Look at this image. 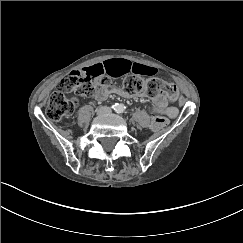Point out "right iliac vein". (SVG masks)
Segmentation results:
<instances>
[{"instance_id":"63e3f726","label":"right iliac vein","mask_w":243,"mask_h":243,"mask_svg":"<svg viewBox=\"0 0 243 243\" xmlns=\"http://www.w3.org/2000/svg\"><path fill=\"white\" fill-rule=\"evenodd\" d=\"M104 113V110L103 109H99L98 111H97V114L98 115H101V114H103Z\"/></svg>"}]
</instances>
